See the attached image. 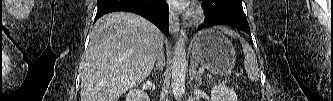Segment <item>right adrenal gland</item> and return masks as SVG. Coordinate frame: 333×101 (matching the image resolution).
I'll use <instances>...</instances> for the list:
<instances>
[{
  "mask_svg": "<svg viewBox=\"0 0 333 101\" xmlns=\"http://www.w3.org/2000/svg\"><path fill=\"white\" fill-rule=\"evenodd\" d=\"M164 65H165V57H164V52L162 50V51H160V53L158 55V61L154 67V71L155 70L162 71Z\"/></svg>",
  "mask_w": 333,
  "mask_h": 101,
  "instance_id": "obj_1",
  "label": "right adrenal gland"
}]
</instances>
